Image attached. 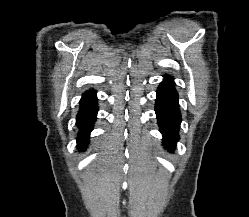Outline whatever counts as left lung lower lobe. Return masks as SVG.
Returning <instances> with one entry per match:
<instances>
[{"label": "left lung lower lobe", "mask_w": 249, "mask_h": 217, "mask_svg": "<svg viewBox=\"0 0 249 217\" xmlns=\"http://www.w3.org/2000/svg\"><path fill=\"white\" fill-rule=\"evenodd\" d=\"M160 84L157 90L155 112L163 134V144L171 150L179 139V127L181 114L178 105V93L174 88L173 80L170 76Z\"/></svg>", "instance_id": "1"}]
</instances>
